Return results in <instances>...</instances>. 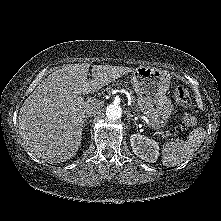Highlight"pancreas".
Returning <instances> with one entry per match:
<instances>
[{"label": "pancreas", "mask_w": 221, "mask_h": 221, "mask_svg": "<svg viewBox=\"0 0 221 221\" xmlns=\"http://www.w3.org/2000/svg\"><path fill=\"white\" fill-rule=\"evenodd\" d=\"M113 87H117V88H119V89L125 88V89L129 90L130 93H132V90L130 89V87H129V85H128L127 82H116V83H113L112 86H108V87L106 88V91H110ZM132 100H133V101L135 100V97H134V96H132ZM135 109L137 110V106H136ZM137 111H138V110H137Z\"/></svg>", "instance_id": "pancreas-1"}]
</instances>
